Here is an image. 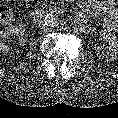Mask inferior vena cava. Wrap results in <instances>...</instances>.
Listing matches in <instances>:
<instances>
[{"mask_svg":"<svg viewBox=\"0 0 118 118\" xmlns=\"http://www.w3.org/2000/svg\"><path fill=\"white\" fill-rule=\"evenodd\" d=\"M43 21H44V18H39V19H35L34 23L36 26H39L43 23Z\"/></svg>","mask_w":118,"mask_h":118,"instance_id":"obj_1","label":"inferior vena cava"}]
</instances>
